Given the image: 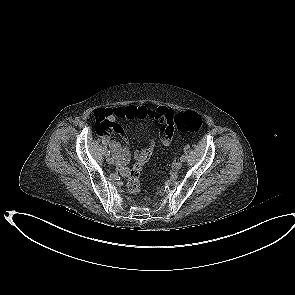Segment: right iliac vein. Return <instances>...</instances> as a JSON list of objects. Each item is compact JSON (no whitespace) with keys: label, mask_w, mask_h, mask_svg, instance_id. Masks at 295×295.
Returning <instances> with one entry per match:
<instances>
[{"label":"right iliac vein","mask_w":295,"mask_h":295,"mask_svg":"<svg viewBox=\"0 0 295 295\" xmlns=\"http://www.w3.org/2000/svg\"><path fill=\"white\" fill-rule=\"evenodd\" d=\"M107 162L109 163V164H111V165H113L114 163H115V160H114V158L113 157H107Z\"/></svg>","instance_id":"63e3f726"}]
</instances>
